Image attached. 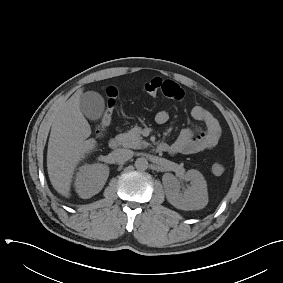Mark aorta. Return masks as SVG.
I'll use <instances>...</instances> for the list:
<instances>
[{
  "label": "aorta",
  "instance_id": "762f6f07",
  "mask_svg": "<svg viewBox=\"0 0 283 283\" xmlns=\"http://www.w3.org/2000/svg\"><path fill=\"white\" fill-rule=\"evenodd\" d=\"M135 167L137 170L139 171H144L148 168V161L146 158L141 157V158H137L135 161Z\"/></svg>",
  "mask_w": 283,
  "mask_h": 283
}]
</instances>
